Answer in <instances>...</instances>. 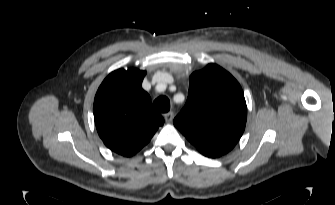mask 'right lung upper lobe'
I'll return each mask as SVG.
<instances>
[{"label": "right lung upper lobe", "mask_w": 335, "mask_h": 205, "mask_svg": "<svg viewBox=\"0 0 335 205\" xmlns=\"http://www.w3.org/2000/svg\"><path fill=\"white\" fill-rule=\"evenodd\" d=\"M146 71L130 68L110 73L94 100V119L100 138L112 151L130 157L152 138L163 117L142 89Z\"/></svg>", "instance_id": "right-lung-upper-lobe-1"}]
</instances>
